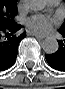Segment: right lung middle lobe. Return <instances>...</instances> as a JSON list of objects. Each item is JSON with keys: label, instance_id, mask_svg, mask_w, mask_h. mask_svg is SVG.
Returning a JSON list of instances; mask_svg holds the SVG:
<instances>
[{"label": "right lung middle lobe", "instance_id": "right-lung-middle-lobe-1", "mask_svg": "<svg viewBox=\"0 0 65 89\" xmlns=\"http://www.w3.org/2000/svg\"><path fill=\"white\" fill-rule=\"evenodd\" d=\"M17 0H0V28H9L16 24Z\"/></svg>", "mask_w": 65, "mask_h": 89}]
</instances>
